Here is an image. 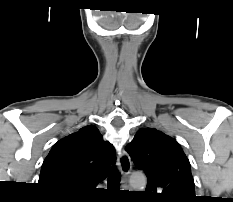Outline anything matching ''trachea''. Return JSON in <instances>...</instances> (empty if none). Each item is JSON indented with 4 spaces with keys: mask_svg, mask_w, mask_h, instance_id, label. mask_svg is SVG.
Instances as JSON below:
<instances>
[{
    "mask_svg": "<svg viewBox=\"0 0 233 202\" xmlns=\"http://www.w3.org/2000/svg\"><path fill=\"white\" fill-rule=\"evenodd\" d=\"M120 178H121V176H120V173L118 172V170L113 168L109 177H108V180H107L108 187L119 188Z\"/></svg>",
    "mask_w": 233,
    "mask_h": 202,
    "instance_id": "1",
    "label": "trachea"
}]
</instances>
